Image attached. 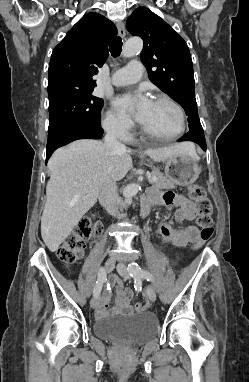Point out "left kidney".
<instances>
[{
  "label": "left kidney",
  "mask_w": 249,
  "mask_h": 382,
  "mask_svg": "<svg viewBox=\"0 0 249 382\" xmlns=\"http://www.w3.org/2000/svg\"><path fill=\"white\" fill-rule=\"evenodd\" d=\"M153 248H160L161 245H152ZM151 255H154V252H151Z\"/></svg>",
  "instance_id": "1"
}]
</instances>
